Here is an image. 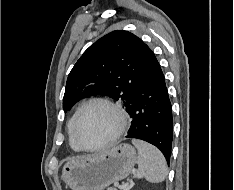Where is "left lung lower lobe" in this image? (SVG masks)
Masks as SVG:
<instances>
[{
    "instance_id": "obj_1",
    "label": "left lung lower lobe",
    "mask_w": 234,
    "mask_h": 190,
    "mask_svg": "<svg viewBox=\"0 0 234 190\" xmlns=\"http://www.w3.org/2000/svg\"><path fill=\"white\" fill-rule=\"evenodd\" d=\"M126 111L132 118L126 137L153 144L169 164L173 139L172 107L163 72L154 53L145 43L142 50V79Z\"/></svg>"
}]
</instances>
